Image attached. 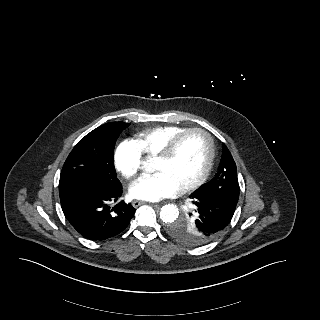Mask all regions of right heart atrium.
Segmentation results:
<instances>
[{"label":"right heart atrium","instance_id":"d8ad5b80","mask_svg":"<svg viewBox=\"0 0 320 320\" xmlns=\"http://www.w3.org/2000/svg\"><path fill=\"white\" fill-rule=\"evenodd\" d=\"M115 166L127 179L134 178L142 165V154L133 140L125 139L116 148Z\"/></svg>","mask_w":320,"mask_h":320}]
</instances>
